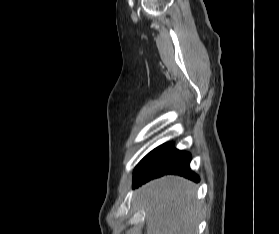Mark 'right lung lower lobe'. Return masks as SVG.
Wrapping results in <instances>:
<instances>
[{
  "instance_id": "1",
  "label": "right lung lower lobe",
  "mask_w": 279,
  "mask_h": 234,
  "mask_svg": "<svg viewBox=\"0 0 279 234\" xmlns=\"http://www.w3.org/2000/svg\"><path fill=\"white\" fill-rule=\"evenodd\" d=\"M190 161L188 152L177 150L173 143H165L147 154L136 166L133 184L139 186L165 174H177L199 181V177L190 170Z\"/></svg>"
}]
</instances>
